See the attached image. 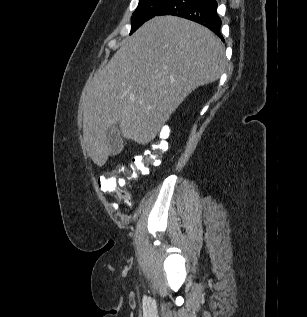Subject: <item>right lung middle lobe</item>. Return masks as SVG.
I'll list each match as a JSON object with an SVG mask.
<instances>
[{"label":"right lung middle lobe","mask_w":307,"mask_h":317,"mask_svg":"<svg viewBox=\"0 0 307 317\" xmlns=\"http://www.w3.org/2000/svg\"><path fill=\"white\" fill-rule=\"evenodd\" d=\"M172 0H139V4L131 17V32H135L144 22L157 16Z\"/></svg>","instance_id":"obj_1"}]
</instances>
